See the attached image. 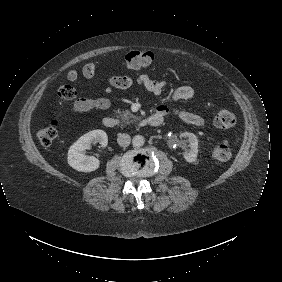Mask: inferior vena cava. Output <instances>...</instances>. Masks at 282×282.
Returning a JSON list of instances; mask_svg holds the SVG:
<instances>
[{"label": "inferior vena cava", "instance_id": "obj_1", "mask_svg": "<svg viewBox=\"0 0 282 282\" xmlns=\"http://www.w3.org/2000/svg\"><path fill=\"white\" fill-rule=\"evenodd\" d=\"M117 142L121 147H127L131 142V137L127 133H120L118 134Z\"/></svg>", "mask_w": 282, "mask_h": 282}]
</instances>
